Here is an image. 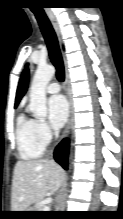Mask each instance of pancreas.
I'll use <instances>...</instances> for the list:
<instances>
[{
	"instance_id": "pancreas-1",
	"label": "pancreas",
	"mask_w": 123,
	"mask_h": 219,
	"mask_svg": "<svg viewBox=\"0 0 123 219\" xmlns=\"http://www.w3.org/2000/svg\"><path fill=\"white\" fill-rule=\"evenodd\" d=\"M44 205L41 203V201H37L34 204L35 211H43Z\"/></svg>"
}]
</instances>
